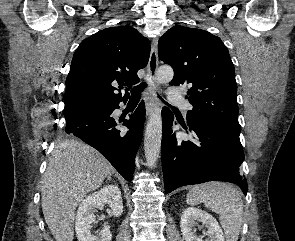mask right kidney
<instances>
[{"instance_id": "1", "label": "right kidney", "mask_w": 295, "mask_h": 241, "mask_svg": "<svg viewBox=\"0 0 295 241\" xmlns=\"http://www.w3.org/2000/svg\"><path fill=\"white\" fill-rule=\"evenodd\" d=\"M106 204L111 208V215L119 217L122 214L121 191L116 185L105 186L98 192L88 195L80 203L75 224L78 241H111L112 234L109 225H104L97 235H93L90 231L91 224L95 221V210L102 209Z\"/></svg>"}]
</instances>
